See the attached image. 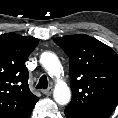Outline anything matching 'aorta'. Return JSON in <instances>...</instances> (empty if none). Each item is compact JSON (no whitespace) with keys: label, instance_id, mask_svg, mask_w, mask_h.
Returning <instances> with one entry per match:
<instances>
[{"label":"aorta","instance_id":"obj_1","mask_svg":"<svg viewBox=\"0 0 118 118\" xmlns=\"http://www.w3.org/2000/svg\"><path fill=\"white\" fill-rule=\"evenodd\" d=\"M40 63L42 64L44 69L48 71V74L50 76L58 77L61 74L62 66L58 57L54 53H42L40 57ZM53 97L56 103H58L59 105L68 104L71 100L70 88L63 81L57 82L54 88Z\"/></svg>","mask_w":118,"mask_h":118}]
</instances>
